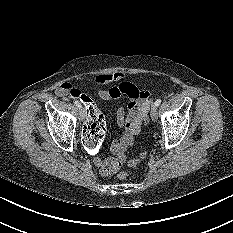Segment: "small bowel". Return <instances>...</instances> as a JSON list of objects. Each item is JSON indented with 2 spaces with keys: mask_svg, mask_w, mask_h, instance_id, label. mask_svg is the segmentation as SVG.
I'll return each instance as SVG.
<instances>
[{
  "mask_svg": "<svg viewBox=\"0 0 233 233\" xmlns=\"http://www.w3.org/2000/svg\"><path fill=\"white\" fill-rule=\"evenodd\" d=\"M123 78L124 74L117 71L98 75L88 81L89 84L97 86L120 82L118 85L110 87L109 89H100L98 91V96L104 101H114L118 99H126L128 101L126 108L120 107L116 112L117 123L124 129L122 135L113 140L111 144V151L116 155L123 154L132 144L134 137L139 134L143 116L148 113L151 102L148 91L141 90L130 82H121ZM56 93L59 96L72 97H78L81 94L69 83H63L58 86ZM94 163L99 168V172L102 176L115 174L121 166L118 159L112 157H95Z\"/></svg>",
  "mask_w": 233,
  "mask_h": 233,
  "instance_id": "obj_1",
  "label": "small bowel"
}]
</instances>
